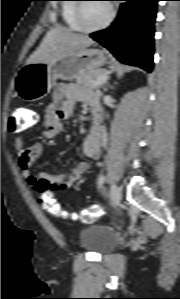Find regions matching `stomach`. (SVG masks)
<instances>
[{"instance_id": "0dacf381", "label": "stomach", "mask_w": 180, "mask_h": 299, "mask_svg": "<svg viewBox=\"0 0 180 299\" xmlns=\"http://www.w3.org/2000/svg\"><path fill=\"white\" fill-rule=\"evenodd\" d=\"M107 55L99 49H80L64 55L53 62L25 64L17 73V95L34 102L44 98L57 79L71 80L84 73L98 69L107 63Z\"/></svg>"}]
</instances>
